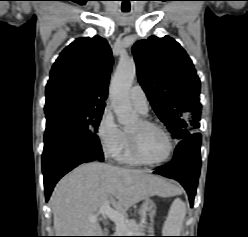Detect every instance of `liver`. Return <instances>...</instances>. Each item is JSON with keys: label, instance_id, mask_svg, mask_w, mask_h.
I'll use <instances>...</instances> for the list:
<instances>
[{"label": "liver", "instance_id": "1", "mask_svg": "<svg viewBox=\"0 0 248 237\" xmlns=\"http://www.w3.org/2000/svg\"><path fill=\"white\" fill-rule=\"evenodd\" d=\"M176 188L143 170L92 162L78 166L56 185L50 202L56 236H102L98 221H90L105 201L124 214L151 196H168Z\"/></svg>", "mask_w": 248, "mask_h": 237}]
</instances>
